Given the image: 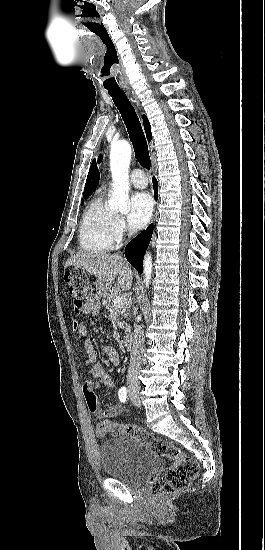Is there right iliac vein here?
<instances>
[{"label": "right iliac vein", "instance_id": "63e3f726", "mask_svg": "<svg viewBox=\"0 0 265 550\" xmlns=\"http://www.w3.org/2000/svg\"><path fill=\"white\" fill-rule=\"evenodd\" d=\"M129 397L136 404L140 405L139 390L135 386H130L128 389Z\"/></svg>", "mask_w": 265, "mask_h": 550}]
</instances>
